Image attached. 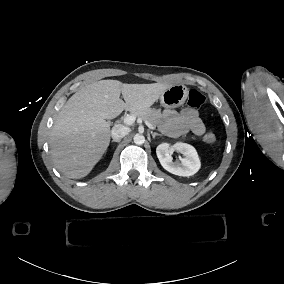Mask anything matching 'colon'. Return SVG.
<instances>
[{
    "label": "colon",
    "mask_w": 284,
    "mask_h": 284,
    "mask_svg": "<svg viewBox=\"0 0 284 284\" xmlns=\"http://www.w3.org/2000/svg\"><path fill=\"white\" fill-rule=\"evenodd\" d=\"M188 106L193 109L201 108L205 104V97L197 89H190L188 91ZM204 141L208 144H212L215 141V136L213 133H207L204 136Z\"/></svg>",
    "instance_id": "obj_1"
}]
</instances>
